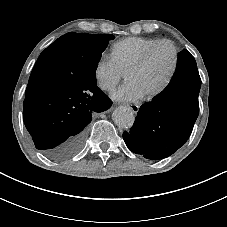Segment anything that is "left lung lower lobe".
<instances>
[{
    "mask_svg": "<svg viewBox=\"0 0 227 227\" xmlns=\"http://www.w3.org/2000/svg\"><path fill=\"white\" fill-rule=\"evenodd\" d=\"M200 86L196 61L183 50L168 86L140 107L134 125L123 133L127 147L147 159L159 160L183 146L199 114Z\"/></svg>",
    "mask_w": 227,
    "mask_h": 227,
    "instance_id": "1",
    "label": "left lung lower lobe"
}]
</instances>
